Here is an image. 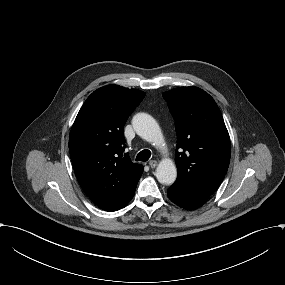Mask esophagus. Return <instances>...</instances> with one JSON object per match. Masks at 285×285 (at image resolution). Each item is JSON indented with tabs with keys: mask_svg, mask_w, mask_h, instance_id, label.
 Segmentation results:
<instances>
[{
	"mask_svg": "<svg viewBox=\"0 0 285 285\" xmlns=\"http://www.w3.org/2000/svg\"><path fill=\"white\" fill-rule=\"evenodd\" d=\"M157 165H158V162H157L156 160H151V161L149 162V166H150L151 168H155Z\"/></svg>",
	"mask_w": 285,
	"mask_h": 285,
	"instance_id": "esophagus-1",
	"label": "esophagus"
}]
</instances>
